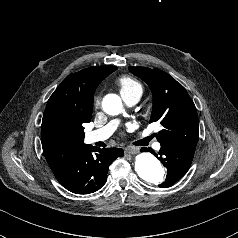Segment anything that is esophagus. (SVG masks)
I'll return each instance as SVG.
<instances>
[{"mask_svg": "<svg viewBox=\"0 0 238 238\" xmlns=\"http://www.w3.org/2000/svg\"><path fill=\"white\" fill-rule=\"evenodd\" d=\"M138 151H139V149L136 148V147H133V146H128V147L125 148V153L126 154H137Z\"/></svg>", "mask_w": 238, "mask_h": 238, "instance_id": "1", "label": "esophagus"}]
</instances>
